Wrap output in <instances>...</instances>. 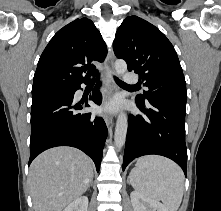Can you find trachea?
Segmentation results:
<instances>
[{"label": "trachea", "mask_w": 221, "mask_h": 211, "mask_svg": "<svg viewBox=\"0 0 221 211\" xmlns=\"http://www.w3.org/2000/svg\"><path fill=\"white\" fill-rule=\"evenodd\" d=\"M114 79H115V81H116V83H117L118 85L134 87V86H132V85L126 84L125 82L121 81L119 78H117V77H115V76H114ZM92 81H94V80H92Z\"/></svg>", "instance_id": "3493384b"}]
</instances>
